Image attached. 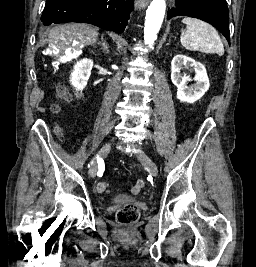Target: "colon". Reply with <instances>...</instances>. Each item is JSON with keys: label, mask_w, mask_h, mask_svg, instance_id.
<instances>
[{"label": "colon", "mask_w": 256, "mask_h": 267, "mask_svg": "<svg viewBox=\"0 0 256 267\" xmlns=\"http://www.w3.org/2000/svg\"><path fill=\"white\" fill-rule=\"evenodd\" d=\"M63 95L66 98H71V90L65 88L62 90ZM52 111L58 113L60 111L59 106H53ZM145 186V182L142 179H138L133 186L132 192L134 194L139 193ZM97 190L100 193H106L109 191V184L106 182H100L97 185ZM139 216V209L134 205H125L117 212V224L120 228H131V224H137V218Z\"/></svg>", "instance_id": "obj_1"}]
</instances>
